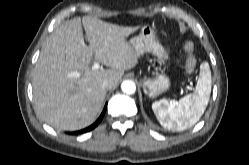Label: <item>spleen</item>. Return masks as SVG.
I'll return each instance as SVG.
<instances>
[{"mask_svg":"<svg viewBox=\"0 0 249 165\" xmlns=\"http://www.w3.org/2000/svg\"><path fill=\"white\" fill-rule=\"evenodd\" d=\"M211 93V71L208 62L200 66L195 91L173 103L161 99L152 104V110L160 124L169 130H185L196 124L203 115Z\"/></svg>","mask_w":249,"mask_h":165,"instance_id":"spleen-1","label":"spleen"}]
</instances>
